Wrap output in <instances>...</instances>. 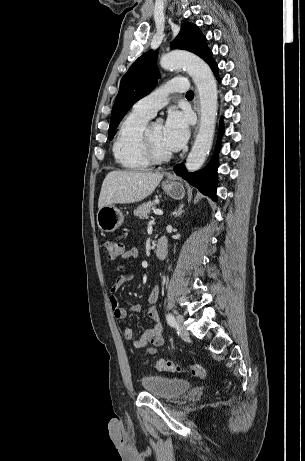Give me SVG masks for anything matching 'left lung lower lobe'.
<instances>
[{
  "instance_id": "1",
  "label": "left lung lower lobe",
  "mask_w": 305,
  "mask_h": 461,
  "mask_svg": "<svg viewBox=\"0 0 305 461\" xmlns=\"http://www.w3.org/2000/svg\"><path fill=\"white\" fill-rule=\"evenodd\" d=\"M208 64L211 67L217 79H219L218 66L216 62L214 61V59H212ZM222 133H223V127L221 123L215 154L212 157L210 163L203 170L194 172V173H188L184 164H179L174 169L177 175L181 176L183 179L188 181L191 185L197 187L200 190V192L209 196L214 201L217 200V196H216V180H217V168H218L217 153L219 151L220 137Z\"/></svg>"
}]
</instances>
